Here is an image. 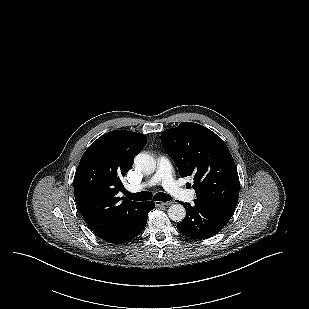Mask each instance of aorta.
Instances as JSON below:
<instances>
[{
    "mask_svg": "<svg viewBox=\"0 0 309 309\" xmlns=\"http://www.w3.org/2000/svg\"><path fill=\"white\" fill-rule=\"evenodd\" d=\"M134 164L142 173L149 175L156 170L155 159L147 153H139L134 159ZM168 216L175 222H181L186 216V210L181 204H173L168 209Z\"/></svg>",
    "mask_w": 309,
    "mask_h": 309,
    "instance_id": "obj_1",
    "label": "aorta"
}]
</instances>
